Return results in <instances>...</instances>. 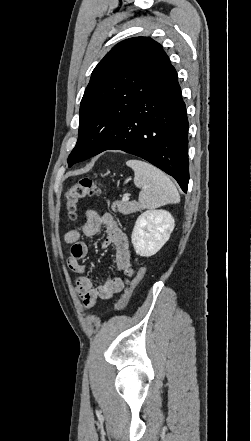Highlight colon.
Here are the masks:
<instances>
[{
    "label": "colon",
    "mask_w": 251,
    "mask_h": 441,
    "mask_svg": "<svg viewBox=\"0 0 251 441\" xmlns=\"http://www.w3.org/2000/svg\"><path fill=\"white\" fill-rule=\"evenodd\" d=\"M101 192L99 185L91 178L84 177L78 183L70 187L65 193V208L68 217L73 220L76 218L77 207L85 197L97 196ZM145 268L142 267L138 274L128 283L123 295L119 299L116 310L122 311L128 304L134 288L145 274Z\"/></svg>",
    "instance_id": "1"
}]
</instances>
